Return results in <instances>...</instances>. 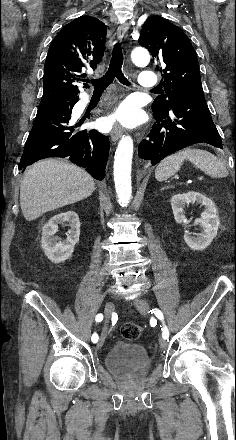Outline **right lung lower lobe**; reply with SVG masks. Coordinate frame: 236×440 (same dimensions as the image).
I'll return each mask as SVG.
<instances>
[{
	"mask_svg": "<svg viewBox=\"0 0 236 440\" xmlns=\"http://www.w3.org/2000/svg\"><path fill=\"white\" fill-rule=\"evenodd\" d=\"M40 104L33 127L25 143L19 168L48 157L67 158L97 180L105 176L109 138L96 130L80 129L72 109L78 102Z\"/></svg>",
	"mask_w": 236,
	"mask_h": 440,
	"instance_id": "1",
	"label": "right lung lower lobe"
}]
</instances>
